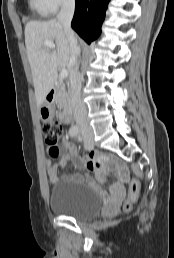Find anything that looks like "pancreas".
Listing matches in <instances>:
<instances>
[{
    "label": "pancreas",
    "mask_w": 174,
    "mask_h": 258,
    "mask_svg": "<svg viewBox=\"0 0 174 258\" xmlns=\"http://www.w3.org/2000/svg\"><path fill=\"white\" fill-rule=\"evenodd\" d=\"M55 102L61 109H67L69 105V93L64 82L59 79L56 89Z\"/></svg>",
    "instance_id": "obj_1"
}]
</instances>
